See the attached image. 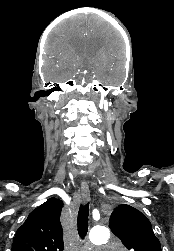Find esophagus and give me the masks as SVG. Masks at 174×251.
Instances as JSON below:
<instances>
[{"label":"esophagus","instance_id":"34e87169","mask_svg":"<svg viewBox=\"0 0 174 251\" xmlns=\"http://www.w3.org/2000/svg\"><path fill=\"white\" fill-rule=\"evenodd\" d=\"M81 197L84 202H87L90 199V190L86 182L81 184Z\"/></svg>","mask_w":174,"mask_h":251}]
</instances>
